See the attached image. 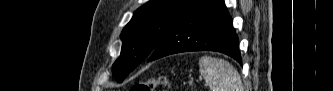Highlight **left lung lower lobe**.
I'll return each instance as SVG.
<instances>
[{
  "mask_svg": "<svg viewBox=\"0 0 333 91\" xmlns=\"http://www.w3.org/2000/svg\"><path fill=\"white\" fill-rule=\"evenodd\" d=\"M188 51L221 52L241 63L238 37L223 0H197L164 36L148 61Z\"/></svg>",
  "mask_w": 333,
  "mask_h": 91,
  "instance_id": "0a47b994",
  "label": "left lung lower lobe"
}]
</instances>
